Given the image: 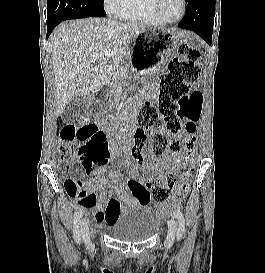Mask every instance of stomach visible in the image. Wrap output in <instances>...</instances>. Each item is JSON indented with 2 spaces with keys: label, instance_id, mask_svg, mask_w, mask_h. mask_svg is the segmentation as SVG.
Masks as SVG:
<instances>
[{
  "label": "stomach",
  "instance_id": "obj_1",
  "mask_svg": "<svg viewBox=\"0 0 265 273\" xmlns=\"http://www.w3.org/2000/svg\"><path fill=\"white\" fill-rule=\"evenodd\" d=\"M177 30L141 29L131 41L126 59L134 61L135 68L129 78H158V73L168 69L169 58L175 45ZM138 85V80H131Z\"/></svg>",
  "mask_w": 265,
  "mask_h": 273
}]
</instances>
